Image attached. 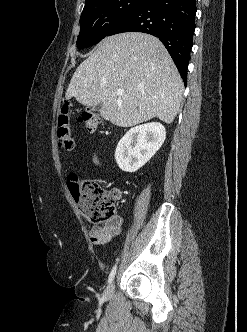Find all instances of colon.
I'll return each instance as SVG.
<instances>
[{
    "label": "colon",
    "instance_id": "5ec220e1",
    "mask_svg": "<svg viewBox=\"0 0 247 332\" xmlns=\"http://www.w3.org/2000/svg\"><path fill=\"white\" fill-rule=\"evenodd\" d=\"M71 115V103L63 101L58 115L57 138L60 147L67 152L73 151L75 147ZM79 120L90 133L95 132L101 123L100 116L92 111H84ZM68 187L83 216L90 222L100 224L115 216L114 194L100 179L80 181L75 174H72L68 179Z\"/></svg>",
    "mask_w": 247,
    "mask_h": 332
}]
</instances>
